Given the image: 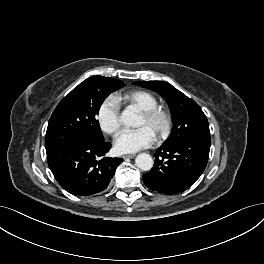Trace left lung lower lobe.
<instances>
[{
	"mask_svg": "<svg viewBox=\"0 0 264 264\" xmlns=\"http://www.w3.org/2000/svg\"><path fill=\"white\" fill-rule=\"evenodd\" d=\"M210 151V136L163 144L155 153L154 167L143 175L144 184L164 194H178L191 187L203 173Z\"/></svg>",
	"mask_w": 264,
	"mask_h": 264,
	"instance_id": "left-lung-lower-lobe-1",
	"label": "left lung lower lobe"
}]
</instances>
